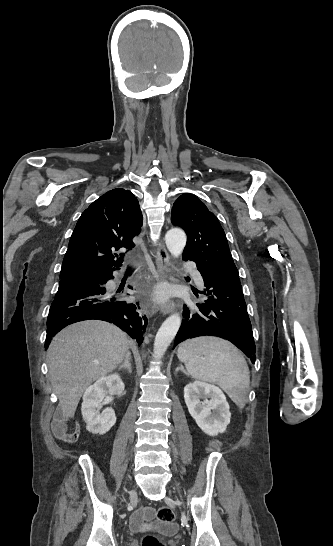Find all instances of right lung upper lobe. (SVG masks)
<instances>
[{
    "instance_id": "right-lung-upper-lobe-1",
    "label": "right lung upper lobe",
    "mask_w": 333,
    "mask_h": 546,
    "mask_svg": "<svg viewBox=\"0 0 333 546\" xmlns=\"http://www.w3.org/2000/svg\"><path fill=\"white\" fill-rule=\"evenodd\" d=\"M142 213L135 195L121 188L108 191L81 215L64 256L60 279L105 276L119 269L124 253L115 260V250L132 249V239L142 226Z\"/></svg>"
}]
</instances>
